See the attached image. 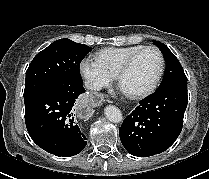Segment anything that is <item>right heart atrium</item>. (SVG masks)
<instances>
[{
	"mask_svg": "<svg viewBox=\"0 0 209 179\" xmlns=\"http://www.w3.org/2000/svg\"><path fill=\"white\" fill-rule=\"evenodd\" d=\"M80 70L92 90H99L109 85L111 82V78L107 76L95 62L89 59H85L81 62Z\"/></svg>",
	"mask_w": 209,
	"mask_h": 179,
	"instance_id": "obj_1",
	"label": "right heart atrium"
}]
</instances>
